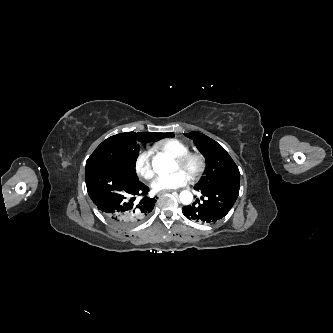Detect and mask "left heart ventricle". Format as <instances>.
<instances>
[{
  "label": "left heart ventricle",
  "mask_w": 333,
  "mask_h": 333,
  "mask_svg": "<svg viewBox=\"0 0 333 333\" xmlns=\"http://www.w3.org/2000/svg\"><path fill=\"white\" fill-rule=\"evenodd\" d=\"M195 164H191L189 167L187 168H181L178 164H177V168H181L187 175H189L194 169H195Z\"/></svg>",
  "instance_id": "1"
}]
</instances>
